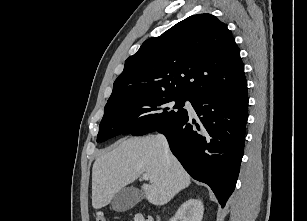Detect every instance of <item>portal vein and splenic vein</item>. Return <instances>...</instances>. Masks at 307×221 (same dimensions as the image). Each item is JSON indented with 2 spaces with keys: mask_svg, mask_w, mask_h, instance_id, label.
Instances as JSON below:
<instances>
[{
  "mask_svg": "<svg viewBox=\"0 0 307 221\" xmlns=\"http://www.w3.org/2000/svg\"><path fill=\"white\" fill-rule=\"evenodd\" d=\"M142 178L144 179V180H150L151 182L152 181H154L155 180V177L153 176V175H150V174H143L142 175Z\"/></svg>",
  "mask_w": 307,
  "mask_h": 221,
  "instance_id": "portal-vein-and-splenic-vein-1",
  "label": "portal vein and splenic vein"
}]
</instances>
